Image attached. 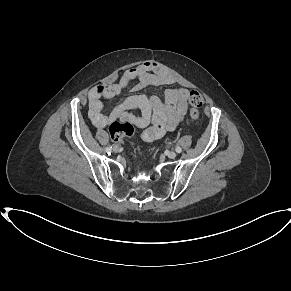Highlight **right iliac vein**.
Returning <instances> with one entry per match:
<instances>
[{
	"label": "right iliac vein",
	"instance_id": "obj_1",
	"mask_svg": "<svg viewBox=\"0 0 291 291\" xmlns=\"http://www.w3.org/2000/svg\"><path fill=\"white\" fill-rule=\"evenodd\" d=\"M113 151L117 153V152L120 151V148H119L117 145H115V146L113 147Z\"/></svg>",
	"mask_w": 291,
	"mask_h": 291
}]
</instances>
